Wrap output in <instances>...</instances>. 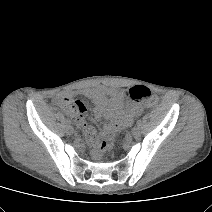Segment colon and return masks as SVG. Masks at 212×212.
<instances>
[{
	"label": "colon",
	"mask_w": 212,
	"mask_h": 212,
	"mask_svg": "<svg viewBox=\"0 0 212 212\" xmlns=\"http://www.w3.org/2000/svg\"><path fill=\"white\" fill-rule=\"evenodd\" d=\"M124 96L136 101L142 102L150 106L158 103V99L152 95L151 91L143 85H136L128 90L123 91ZM57 106L66 113L81 114L85 111V105L79 100H74L70 97H61L57 100ZM116 132L113 134L115 135ZM114 137L103 141L99 147L100 152H106L112 149Z\"/></svg>",
	"instance_id": "obj_1"
}]
</instances>
